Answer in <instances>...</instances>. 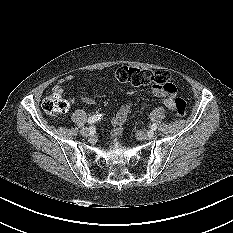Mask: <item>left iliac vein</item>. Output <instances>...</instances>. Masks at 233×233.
Returning <instances> with one entry per match:
<instances>
[{"mask_svg":"<svg viewBox=\"0 0 233 233\" xmlns=\"http://www.w3.org/2000/svg\"><path fill=\"white\" fill-rule=\"evenodd\" d=\"M136 136H137L138 139H142V140H144V139H152V138H154L155 133L152 130L148 131L147 133L137 132Z\"/></svg>","mask_w":233,"mask_h":233,"instance_id":"obj_1","label":"left iliac vein"}]
</instances>
